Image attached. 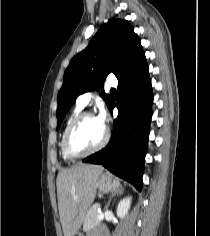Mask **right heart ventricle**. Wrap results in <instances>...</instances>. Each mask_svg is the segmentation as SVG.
Segmentation results:
<instances>
[{"mask_svg": "<svg viewBox=\"0 0 210 236\" xmlns=\"http://www.w3.org/2000/svg\"><path fill=\"white\" fill-rule=\"evenodd\" d=\"M81 110H82V107L77 105L76 108L74 109V111L71 113V115L67 119V121H66V123L64 125V128L62 130L60 147H61V152H62V156H63L64 159H69L65 155L64 150H63V139H64V135H65L66 129L69 126L70 122L81 112Z\"/></svg>", "mask_w": 210, "mask_h": 236, "instance_id": "1", "label": "right heart ventricle"}]
</instances>
